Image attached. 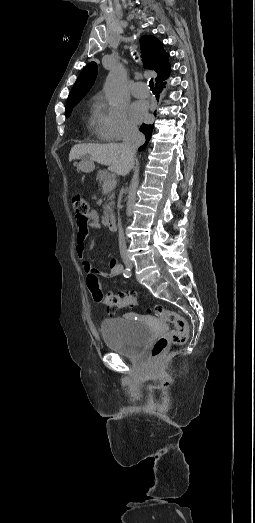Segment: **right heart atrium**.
<instances>
[{
  "instance_id": "1",
  "label": "right heart atrium",
  "mask_w": 255,
  "mask_h": 523,
  "mask_svg": "<svg viewBox=\"0 0 255 523\" xmlns=\"http://www.w3.org/2000/svg\"><path fill=\"white\" fill-rule=\"evenodd\" d=\"M106 114L109 120L110 131L115 139L124 140L138 132L137 125L130 117L126 104H111L106 109Z\"/></svg>"
}]
</instances>
